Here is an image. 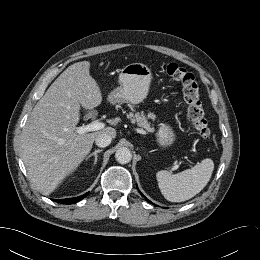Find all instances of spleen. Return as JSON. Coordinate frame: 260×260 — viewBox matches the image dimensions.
Here are the masks:
<instances>
[{"mask_svg": "<svg viewBox=\"0 0 260 260\" xmlns=\"http://www.w3.org/2000/svg\"><path fill=\"white\" fill-rule=\"evenodd\" d=\"M214 170V163L207 158L191 169L177 174L166 170L157 172L158 186L162 195L170 202H182L193 198L209 182Z\"/></svg>", "mask_w": 260, "mask_h": 260, "instance_id": "spleen-1", "label": "spleen"}]
</instances>
